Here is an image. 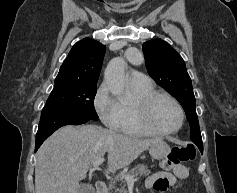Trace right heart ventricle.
Masks as SVG:
<instances>
[{"instance_id":"1","label":"right heart ventricle","mask_w":237,"mask_h":193,"mask_svg":"<svg viewBox=\"0 0 237 193\" xmlns=\"http://www.w3.org/2000/svg\"><path fill=\"white\" fill-rule=\"evenodd\" d=\"M131 89L136 97V101L155 92L152 84L147 85V86H135L131 84ZM119 132L123 134H127V135H135V136L149 135L145 133L144 131H142L135 123L134 104L122 105V122H121Z\"/></svg>"}]
</instances>
